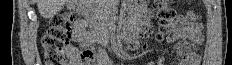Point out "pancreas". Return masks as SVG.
Returning <instances> with one entry per match:
<instances>
[{
  "label": "pancreas",
  "mask_w": 232,
  "mask_h": 65,
  "mask_svg": "<svg viewBox=\"0 0 232 65\" xmlns=\"http://www.w3.org/2000/svg\"><path fill=\"white\" fill-rule=\"evenodd\" d=\"M108 13H110V10H109V11H105V12L103 13V15H104V17H105V20L108 18ZM93 25L96 26V27L99 28V29H107V26H101L100 23H96V22H95Z\"/></svg>",
  "instance_id": "cf45deb5"
}]
</instances>
